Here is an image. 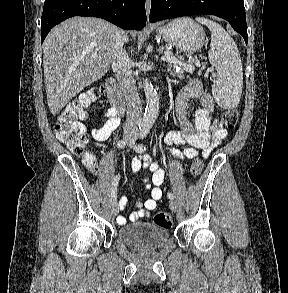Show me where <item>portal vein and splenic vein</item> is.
<instances>
[{"instance_id":"obj_1","label":"portal vein and splenic vein","mask_w":288,"mask_h":293,"mask_svg":"<svg viewBox=\"0 0 288 293\" xmlns=\"http://www.w3.org/2000/svg\"><path fill=\"white\" fill-rule=\"evenodd\" d=\"M97 55H92V58H96ZM162 61H166V62H170V63H175L179 66H181L184 70H186L187 72L192 73L195 69V67L192 64H186L183 63L182 61H180L178 58H176L175 56H173V54L171 53H166L165 56H163L161 58ZM196 65H200L199 62L196 63ZM209 72H213V68H208Z\"/></svg>"}]
</instances>
